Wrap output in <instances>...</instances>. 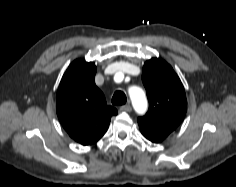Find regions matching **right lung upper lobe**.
Listing matches in <instances>:
<instances>
[{
	"instance_id": "cb5924a9",
	"label": "right lung upper lobe",
	"mask_w": 236,
	"mask_h": 187,
	"mask_svg": "<svg viewBox=\"0 0 236 187\" xmlns=\"http://www.w3.org/2000/svg\"><path fill=\"white\" fill-rule=\"evenodd\" d=\"M96 66L81 59L73 61L59 85L57 116L69 136L82 145L97 142L107 131L117 110L106 104L94 83Z\"/></svg>"
}]
</instances>
